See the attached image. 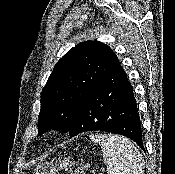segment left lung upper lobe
<instances>
[{
  "label": "left lung upper lobe",
  "instance_id": "obj_1",
  "mask_svg": "<svg viewBox=\"0 0 175 174\" xmlns=\"http://www.w3.org/2000/svg\"><path fill=\"white\" fill-rule=\"evenodd\" d=\"M118 65L116 54L99 41H85L68 51L42 90L39 134L50 129L68 131L82 97Z\"/></svg>",
  "mask_w": 175,
  "mask_h": 174
}]
</instances>
